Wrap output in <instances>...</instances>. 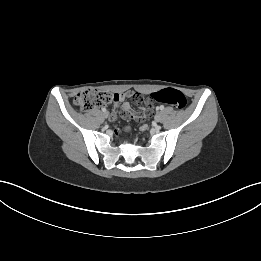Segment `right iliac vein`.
Instances as JSON below:
<instances>
[{"label": "right iliac vein", "instance_id": "right-iliac-vein-1", "mask_svg": "<svg viewBox=\"0 0 261 261\" xmlns=\"http://www.w3.org/2000/svg\"><path fill=\"white\" fill-rule=\"evenodd\" d=\"M108 112H104V117L107 118L108 117Z\"/></svg>", "mask_w": 261, "mask_h": 261}]
</instances>
